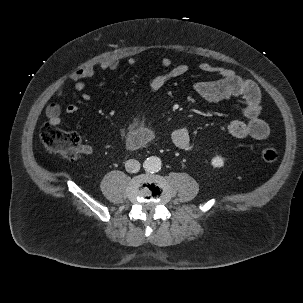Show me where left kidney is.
Here are the masks:
<instances>
[{
	"instance_id": "1",
	"label": "left kidney",
	"mask_w": 303,
	"mask_h": 303,
	"mask_svg": "<svg viewBox=\"0 0 303 303\" xmlns=\"http://www.w3.org/2000/svg\"><path fill=\"white\" fill-rule=\"evenodd\" d=\"M211 164L213 165V167L215 168H220L224 166V160L221 156H215L212 161Z\"/></svg>"
}]
</instances>
